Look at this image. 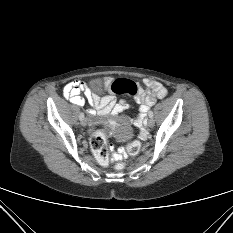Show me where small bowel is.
<instances>
[{
    "instance_id": "obj_1",
    "label": "small bowel",
    "mask_w": 233,
    "mask_h": 233,
    "mask_svg": "<svg viewBox=\"0 0 233 233\" xmlns=\"http://www.w3.org/2000/svg\"><path fill=\"white\" fill-rule=\"evenodd\" d=\"M144 88L138 86V91L135 99L139 103V113L134 122L136 125H141L149 108L158 100L167 95V89L158 81L145 78L143 80ZM84 93L87 102L90 105L88 113L90 115L96 112L100 115L115 117L122 111L128 108V104L124 101L116 102L113 95L108 94L100 97L98 94L88 88V86L81 80H73L67 83L63 88L65 98L69 99L72 103L83 106L85 99L81 96ZM125 151L123 149H114L112 158L113 160H120Z\"/></svg>"
}]
</instances>
